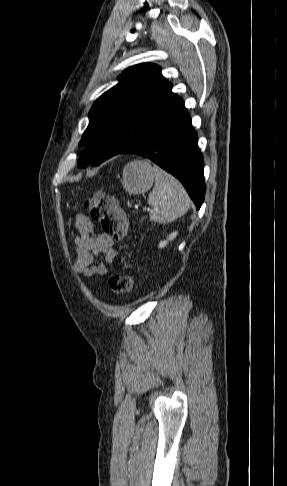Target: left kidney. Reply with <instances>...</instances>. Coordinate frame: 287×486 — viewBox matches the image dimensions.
Returning a JSON list of instances; mask_svg holds the SVG:
<instances>
[{"label": "left kidney", "mask_w": 287, "mask_h": 486, "mask_svg": "<svg viewBox=\"0 0 287 486\" xmlns=\"http://www.w3.org/2000/svg\"><path fill=\"white\" fill-rule=\"evenodd\" d=\"M177 235H178V232H173L172 234L169 235V237L167 238V240L161 241L159 243V247L160 248H164L167 245L168 241L173 240L174 238H176Z\"/></svg>", "instance_id": "1"}]
</instances>
